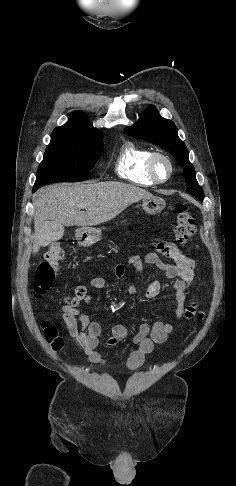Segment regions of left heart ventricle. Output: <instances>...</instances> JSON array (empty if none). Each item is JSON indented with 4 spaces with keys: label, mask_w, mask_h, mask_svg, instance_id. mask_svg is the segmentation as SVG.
<instances>
[{
    "label": "left heart ventricle",
    "mask_w": 236,
    "mask_h": 486,
    "mask_svg": "<svg viewBox=\"0 0 236 486\" xmlns=\"http://www.w3.org/2000/svg\"><path fill=\"white\" fill-rule=\"evenodd\" d=\"M155 169H156L157 175L160 178H165L167 176V174H168V165L162 159H159V160L156 161Z\"/></svg>",
    "instance_id": "1"
}]
</instances>
